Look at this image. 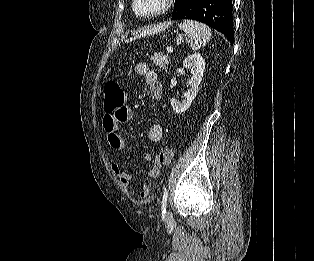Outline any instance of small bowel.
Instances as JSON below:
<instances>
[{
  "mask_svg": "<svg viewBox=\"0 0 314 261\" xmlns=\"http://www.w3.org/2000/svg\"><path fill=\"white\" fill-rule=\"evenodd\" d=\"M135 72L143 76L150 89V95L153 100H160L163 95L162 83L157 72L151 70L149 66L144 62H138L134 67ZM131 109L123 105L118 109H108V113L103 118V127L108 134V142L110 146L115 150H123L127 147L124 136L119 131L121 124H126L132 120ZM163 128L159 123H154L149 129V139L154 143H159L162 140ZM145 159L150 161L152 156L150 154L145 155ZM161 164L158 161H154L153 166L148 172L149 178H155L161 171ZM111 170L113 174L118 178L121 185L127 191H133L135 189V179L132 175L124 172L118 164H112ZM149 186L147 183L142 184L139 191L141 197H146L149 194Z\"/></svg>",
  "mask_w": 314,
  "mask_h": 261,
  "instance_id": "obj_1",
  "label": "small bowel"
}]
</instances>
